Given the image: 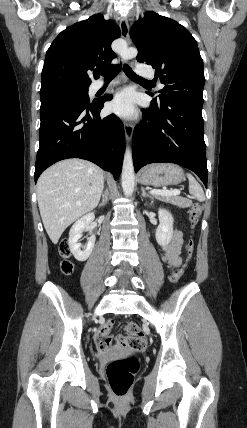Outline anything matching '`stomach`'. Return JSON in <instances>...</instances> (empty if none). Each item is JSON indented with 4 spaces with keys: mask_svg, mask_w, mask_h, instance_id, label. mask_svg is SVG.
<instances>
[{
    "mask_svg": "<svg viewBox=\"0 0 247 428\" xmlns=\"http://www.w3.org/2000/svg\"><path fill=\"white\" fill-rule=\"evenodd\" d=\"M183 169L175 164L158 163L145 167L140 175L144 185L166 186L178 184L184 180Z\"/></svg>",
    "mask_w": 247,
    "mask_h": 428,
    "instance_id": "stomach-1",
    "label": "stomach"
}]
</instances>
